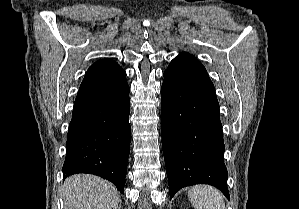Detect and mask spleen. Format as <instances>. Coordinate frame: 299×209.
Segmentation results:
<instances>
[{"label": "spleen", "instance_id": "3e777b00", "mask_svg": "<svg viewBox=\"0 0 299 209\" xmlns=\"http://www.w3.org/2000/svg\"><path fill=\"white\" fill-rule=\"evenodd\" d=\"M188 197L195 209H225L224 196L212 186H193Z\"/></svg>", "mask_w": 299, "mask_h": 209}]
</instances>
